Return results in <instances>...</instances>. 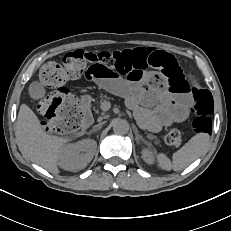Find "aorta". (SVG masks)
Listing matches in <instances>:
<instances>
[{
	"label": "aorta",
	"instance_id": "aorta-1",
	"mask_svg": "<svg viewBox=\"0 0 231 231\" xmlns=\"http://www.w3.org/2000/svg\"><path fill=\"white\" fill-rule=\"evenodd\" d=\"M113 131L117 134H127L129 131V124L122 119H115L112 123Z\"/></svg>",
	"mask_w": 231,
	"mask_h": 231
}]
</instances>
